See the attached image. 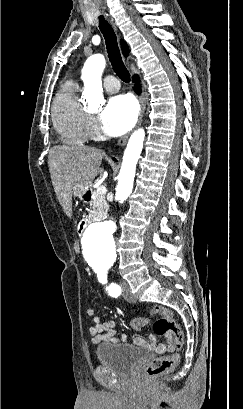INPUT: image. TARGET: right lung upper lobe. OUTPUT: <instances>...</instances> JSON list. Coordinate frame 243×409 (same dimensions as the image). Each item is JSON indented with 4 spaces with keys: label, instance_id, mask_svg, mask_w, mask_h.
Masks as SVG:
<instances>
[{
    "label": "right lung upper lobe",
    "instance_id": "obj_1",
    "mask_svg": "<svg viewBox=\"0 0 243 409\" xmlns=\"http://www.w3.org/2000/svg\"><path fill=\"white\" fill-rule=\"evenodd\" d=\"M121 45H122L123 54H124L125 56H127L128 53H129L128 46H127L126 43L123 42V41L121 42Z\"/></svg>",
    "mask_w": 243,
    "mask_h": 409
}]
</instances>
